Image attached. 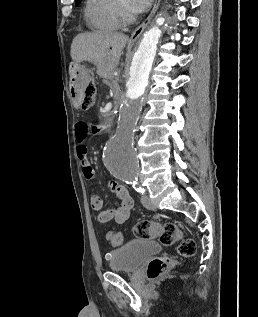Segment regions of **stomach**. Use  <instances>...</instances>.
<instances>
[{"label":"stomach","mask_w":258,"mask_h":317,"mask_svg":"<svg viewBox=\"0 0 258 317\" xmlns=\"http://www.w3.org/2000/svg\"><path fill=\"white\" fill-rule=\"evenodd\" d=\"M72 64V68H74L73 76H75V78L76 76H79V74H83V72H85L86 68L83 64H78V62H72Z\"/></svg>","instance_id":"1"}]
</instances>
